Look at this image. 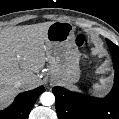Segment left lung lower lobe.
Returning a JSON list of instances; mask_svg holds the SVG:
<instances>
[{
  "label": "left lung lower lobe",
  "mask_w": 119,
  "mask_h": 119,
  "mask_svg": "<svg viewBox=\"0 0 119 119\" xmlns=\"http://www.w3.org/2000/svg\"><path fill=\"white\" fill-rule=\"evenodd\" d=\"M115 69L114 86L104 98H96L54 87L59 119H119V47L107 40Z\"/></svg>",
  "instance_id": "left-lung-lower-lobe-1"
}]
</instances>
